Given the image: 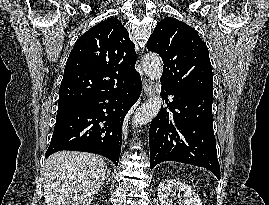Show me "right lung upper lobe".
<instances>
[{
	"mask_svg": "<svg viewBox=\"0 0 269 205\" xmlns=\"http://www.w3.org/2000/svg\"><path fill=\"white\" fill-rule=\"evenodd\" d=\"M135 45L116 18H108L76 41L67 59L58 104L114 90L136 71Z\"/></svg>",
	"mask_w": 269,
	"mask_h": 205,
	"instance_id": "1",
	"label": "right lung upper lobe"
}]
</instances>
